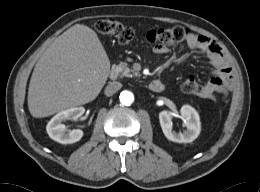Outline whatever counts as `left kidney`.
Listing matches in <instances>:
<instances>
[{"label": "left kidney", "instance_id": "left-kidney-1", "mask_svg": "<svg viewBox=\"0 0 260 192\" xmlns=\"http://www.w3.org/2000/svg\"><path fill=\"white\" fill-rule=\"evenodd\" d=\"M180 113L182 118L185 120L184 124L187 128L185 131L177 133L172 130L173 113L167 110L159 113L160 125L165 137L168 140L177 143H190L194 141L200 133V117L197 111L189 105H183L180 109Z\"/></svg>", "mask_w": 260, "mask_h": 192}]
</instances>
